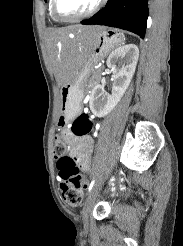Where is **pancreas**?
<instances>
[{
    "label": "pancreas",
    "mask_w": 183,
    "mask_h": 246,
    "mask_svg": "<svg viewBox=\"0 0 183 246\" xmlns=\"http://www.w3.org/2000/svg\"><path fill=\"white\" fill-rule=\"evenodd\" d=\"M99 72V70H92V73L93 74H96V73H98Z\"/></svg>",
    "instance_id": "obj_1"
}]
</instances>
